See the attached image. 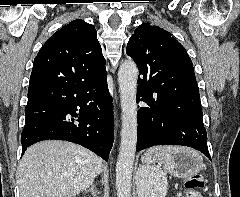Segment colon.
Returning <instances> with one entry per match:
<instances>
[{"label": "colon", "instance_id": "colon-1", "mask_svg": "<svg viewBox=\"0 0 240 197\" xmlns=\"http://www.w3.org/2000/svg\"><path fill=\"white\" fill-rule=\"evenodd\" d=\"M185 187L188 197H202V190L205 187V178L200 173L190 175L185 179Z\"/></svg>", "mask_w": 240, "mask_h": 197}]
</instances>
